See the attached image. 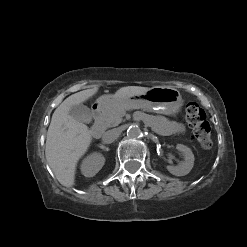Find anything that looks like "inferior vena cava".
<instances>
[{
  "mask_svg": "<svg viewBox=\"0 0 247 247\" xmlns=\"http://www.w3.org/2000/svg\"><path fill=\"white\" fill-rule=\"evenodd\" d=\"M120 134H121V129L119 128L108 130L103 134L102 141L103 143L110 144L114 142L119 137Z\"/></svg>",
  "mask_w": 247,
  "mask_h": 247,
  "instance_id": "inferior-vena-cava-1",
  "label": "inferior vena cava"
}]
</instances>
